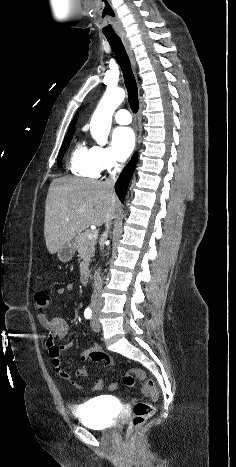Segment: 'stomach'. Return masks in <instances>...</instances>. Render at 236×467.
I'll use <instances>...</instances> for the list:
<instances>
[{
  "label": "stomach",
  "instance_id": "0dacf381",
  "mask_svg": "<svg viewBox=\"0 0 236 467\" xmlns=\"http://www.w3.org/2000/svg\"><path fill=\"white\" fill-rule=\"evenodd\" d=\"M75 250L73 241H68L58 249L57 256L61 262H68L74 256Z\"/></svg>",
  "mask_w": 236,
  "mask_h": 467
}]
</instances>
